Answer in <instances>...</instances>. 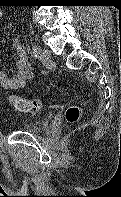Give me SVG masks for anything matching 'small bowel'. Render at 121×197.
Listing matches in <instances>:
<instances>
[{
  "instance_id": "c3829d8e",
  "label": "small bowel",
  "mask_w": 121,
  "mask_h": 197,
  "mask_svg": "<svg viewBox=\"0 0 121 197\" xmlns=\"http://www.w3.org/2000/svg\"><path fill=\"white\" fill-rule=\"evenodd\" d=\"M2 10L0 9V18ZM16 52L17 60L14 67L16 76L10 77L8 70L0 72V86L3 89H19L25 86L26 82L32 78L33 69L25 47L20 43L19 38H15L12 44Z\"/></svg>"
}]
</instances>
